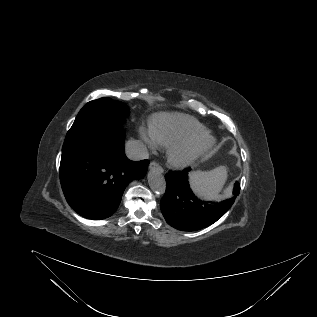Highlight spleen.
Instances as JSON below:
<instances>
[{
  "label": "spleen",
  "mask_w": 317,
  "mask_h": 317,
  "mask_svg": "<svg viewBox=\"0 0 317 317\" xmlns=\"http://www.w3.org/2000/svg\"><path fill=\"white\" fill-rule=\"evenodd\" d=\"M227 180V169L225 166L217 167L211 171H197L190 175L192 190L199 197L213 199L222 190Z\"/></svg>",
  "instance_id": "obj_1"
}]
</instances>
